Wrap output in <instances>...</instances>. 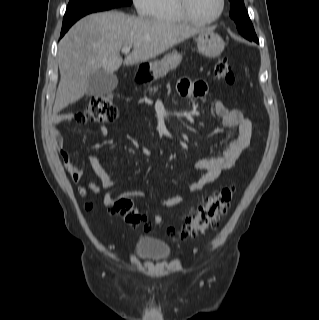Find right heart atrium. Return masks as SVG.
<instances>
[{
	"mask_svg": "<svg viewBox=\"0 0 319 320\" xmlns=\"http://www.w3.org/2000/svg\"><path fill=\"white\" fill-rule=\"evenodd\" d=\"M132 3L140 15L150 16L155 7L156 0H132Z\"/></svg>",
	"mask_w": 319,
	"mask_h": 320,
	"instance_id": "right-heart-atrium-1",
	"label": "right heart atrium"
}]
</instances>
